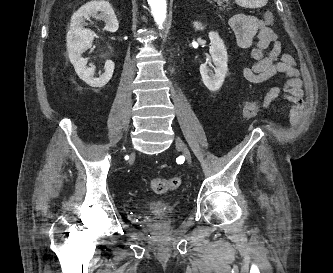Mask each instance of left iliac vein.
<instances>
[{
	"mask_svg": "<svg viewBox=\"0 0 333 273\" xmlns=\"http://www.w3.org/2000/svg\"><path fill=\"white\" fill-rule=\"evenodd\" d=\"M175 143H176V146L182 151V153L185 156L188 164L191 165L192 164V157H191L190 151L187 148V146L185 145V143L180 138H176Z\"/></svg>",
	"mask_w": 333,
	"mask_h": 273,
	"instance_id": "1",
	"label": "left iliac vein"
}]
</instances>
